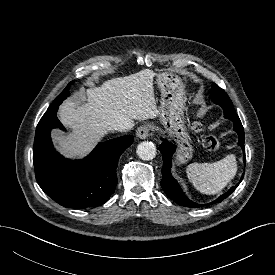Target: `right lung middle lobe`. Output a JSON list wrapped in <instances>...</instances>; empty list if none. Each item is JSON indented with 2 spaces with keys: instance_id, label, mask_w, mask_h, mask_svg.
<instances>
[{
  "instance_id": "1",
  "label": "right lung middle lobe",
  "mask_w": 275,
  "mask_h": 275,
  "mask_svg": "<svg viewBox=\"0 0 275 275\" xmlns=\"http://www.w3.org/2000/svg\"><path fill=\"white\" fill-rule=\"evenodd\" d=\"M69 87H70V83L63 90V92L53 101V103L50 105V107L54 106L56 104H61V102L69 96Z\"/></svg>"
}]
</instances>
